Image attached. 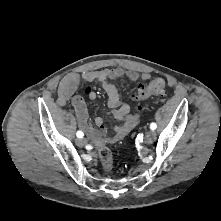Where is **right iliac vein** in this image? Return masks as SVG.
<instances>
[{"label":"right iliac vein","mask_w":221,"mask_h":221,"mask_svg":"<svg viewBox=\"0 0 221 221\" xmlns=\"http://www.w3.org/2000/svg\"><path fill=\"white\" fill-rule=\"evenodd\" d=\"M76 144L82 147L87 144V140L85 138L77 139Z\"/></svg>","instance_id":"obj_1"}]
</instances>
